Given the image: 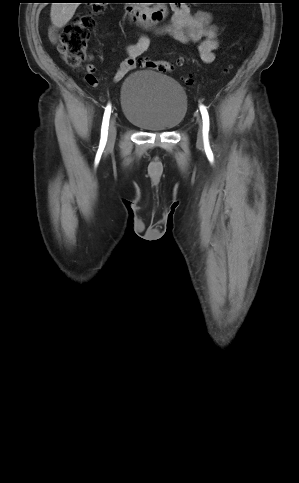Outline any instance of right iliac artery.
I'll return each mask as SVG.
<instances>
[{"label":"right iliac artery","instance_id":"obj_1","mask_svg":"<svg viewBox=\"0 0 299 483\" xmlns=\"http://www.w3.org/2000/svg\"><path fill=\"white\" fill-rule=\"evenodd\" d=\"M110 114H111V105L109 104L105 109L102 127H101L100 146H103V147L105 146L107 141Z\"/></svg>","mask_w":299,"mask_h":483}]
</instances>
